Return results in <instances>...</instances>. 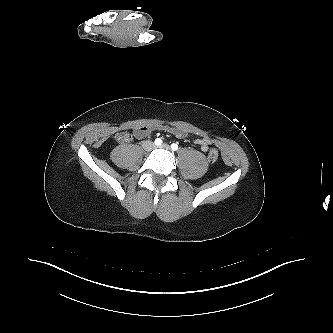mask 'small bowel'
Instances as JSON below:
<instances>
[{
  "label": "small bowel",
  "instance_id": "1",
  "mask_svg": "<svg viewBox=\"0 0 333 333\" xmlns=\"http://www.w3.org/2000/svg\"><path fill=\"white\" fill-rule=\"evenodd\" d=\"M162 130L175 135L176 137L179 138H184L188 135V132L181 128V127H174V126H164L161 127ZM151 132V128L149 127H144V126H140V127H136L133 131L134 136L138 139H142L144 137H146L149 133ZM195 143L200 146L201 150L203 152H206L209 148L210 145V139L207 137H202V138H198L195 140Z\"/></svg>",
  "mask_w": 333,
  "mask_h": 333
}]
</instances>
